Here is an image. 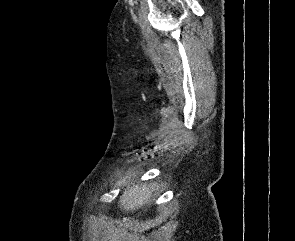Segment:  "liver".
<instances>
[{
  "label": "liver",
  "mask_w": 295,
  "mask_h": 241,
  "mask_svg": "<svg viewBox=\"0 0 295 241\" xmlns=\"http://www.w3.org/2000/svg\"><path fill=\"white\" fill-rule=\"evenodd\" d=\"M123 186H127V189H124L118 204L120 208L125 211L133 212L141 208L149 201L154 191L153 186L135 184L132 183L130 179H128L126 183H123Z\"/></svg>",
  "instance_id": "6515ba94"
}]
</instances>
